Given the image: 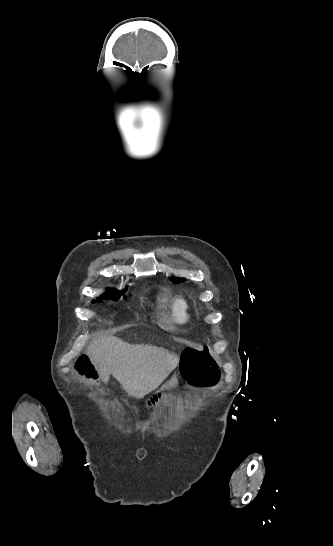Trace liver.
Instances as JSON below:
<instances>
[{
    "instance_id": "obj_1",
    "label": "liver",
    "mask_w": 333,
    "mask_h": 546,
    "mask_svg": "<svg viewBox=\"0 0 333 546\" xmlns=\"http://www.w3.org/2000/svg\"><path fill=\"white\" fill-rule=\"evenodd\" d=\"M87 356L104 383L112 374L128 396L138 399L155 390L179 362L163 348L131 345L115 336L92 341Z\"/></svg>"
}]
</instances>
